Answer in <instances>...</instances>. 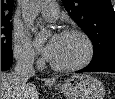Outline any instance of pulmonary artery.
I'll return each instance as SVG.
<instances>
[{
    "instance_id": "1",
    "label": "pulmonary artery",
    "mask_w": 115,
    "mask_h": 99,
    "mask_svg": "<svg viewBox=\"0 0 115 99\" xmlns=\"http://www.w3.org/2000/svg\"><path fill=\"white\" fill-rule=\"evenodd\" d=\"M41 15L48 21H54L59 16V8L56 3L51 1L44 2L41 8Z\"/></svg>"
}]
</instances>
